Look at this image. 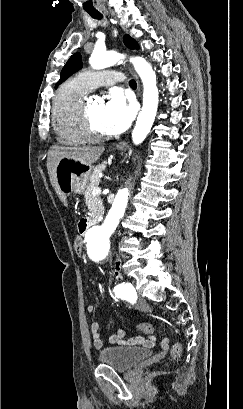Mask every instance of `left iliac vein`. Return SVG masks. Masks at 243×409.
Segmentation results:
<instances>
[{"instance_id":"left-iliac-vein-1","label":"left iliac vein","mask_w":243,"mask_h":409,"mask_svg":"<svg viewBox=\"0 0 243 409\" xmlns=\"http://www.w3.org/2000/svg\"><path fill=\"white\" fill-rule=\"evenodd\" d=\"M137 305L140 308H144L146 306L145 301L143 299H139L138 302H137Z\"/></svg>"}]
</instances>
